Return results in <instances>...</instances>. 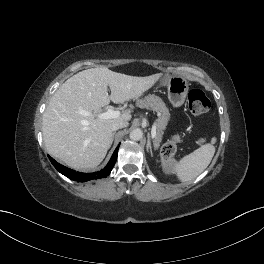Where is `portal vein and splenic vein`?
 Returning <instances> with one entry per match:
<instances>
[{
  "label": "portal vein and splenic vein",
  "mask_w": 264,
  "mask_h": 264,
  "mask_svg": "<svg viewBox=\"0 0 264 264\" xmlns=\"http://www.w3.org/2000/svg\"><path fill=\"white\" fill-rule=\"evenodd\" d=\"M80 113L83 115H89L90 114L88 111H84V110H82ZM119 115H120V113L118 111H115L113 109H108L106 112L99 114V117L101 119H111V118H116ZM156 129H157V127H156V124L154 123L152 126V130H151V135L153 138H155V136H156V132H157Z\"/></svg>",
  "instance_id": "portal-vein-and-splenic-vein-1"
}]
</instances>
